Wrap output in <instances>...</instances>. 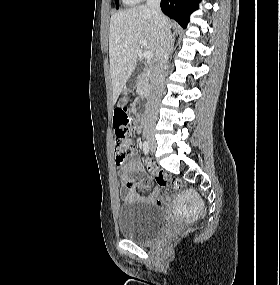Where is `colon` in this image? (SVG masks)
Returning a JSON list of instances; mask_svg holds the SVG:
<instances>
[{
  "label": "colon",
  "instance_id": "5ec220e1",
  "mask_svg": "<svg viewBox=\"0 0 280 285\" xmlns=\"http://www.w3.org/2000/svg\"><path fill=\"white\" fill-rule=\"evenodd\" d=\"M131 121L125 108H118L114 112V128H115V151L116 161L118 164L125 162L127 156L131 154L136 143L130 133ZM155 181L161 186L169 185L175 189L181 188V182L171 178L162 171L155 174Z\"/></svg>",
  "mask_w": 280,
  "mask_h": 285
}]
</instances>
